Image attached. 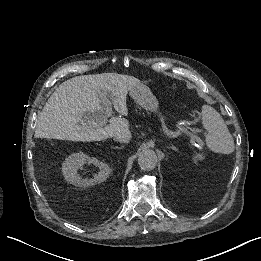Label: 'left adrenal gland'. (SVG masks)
I'll use <instances>...</instances> for the list:
<instances>
[{
    "label": "left adrenal gland",
    "instance_id": "left-adrenal-gland-1",
    "mask_svg": "<svg viewBox=\"0 0 261 261\" xmlns=\"http://www.w3.org/2000/svg\"><path fill=\"white\" fill-rule=\"evenodd\" d=\"M170 149H172V150H175V148L173 147V146H171V147H169Z\"/></svg>",
    "mask_w": 261,
    "mask_h": 261
}]
</instances>
